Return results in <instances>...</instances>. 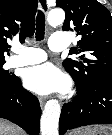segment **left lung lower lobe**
Segmentation results:
<instances>
[{
  "mask_svg": "<svg viewBox=\"0 0 112 135\" xmlns=\"http://www.w3.org/2000/svg\"><path fill=\"white\" fill-rule=\"evenodd\" d=\"M76 86L78 95L62 108L60 135L81 126L112 124V77L97 80L87 88Z\"/></svg>",
  "mask_w": 112,
  "mask_h": 135,
  "instance_id": "1",
  "label": "left lung lower lobe"
}]
</instances>
